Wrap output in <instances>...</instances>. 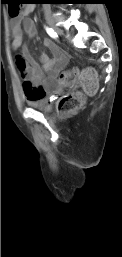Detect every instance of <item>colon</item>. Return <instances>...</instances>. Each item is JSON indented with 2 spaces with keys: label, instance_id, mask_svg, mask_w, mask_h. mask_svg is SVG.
<instances>
[{
  "label": "colon",
  "instance_id": "colon-1",
  "mask_svg": "<svg viewBox=\"0 0 122 257\" xmlns=\"http://www.w3.org/2000/svg\"><path fill=\"white\" fill-rule=\"evenodd\" d=\"M6 10H11V16L15 17L22 10V5H6ZM25 58V57H24ZM55 80L60 87H75L76 83L72 82L73 78L79 82L86 94H92L97 90L98 80L96 72L93 69L87 68L78 70H62V74H58ZM85 102V96L81 92H74L65 95L59 103V109L65 114H73L80 110Z\"/></svg>",
  "mask_w": 122,
  "mask_h": 257
}]
</instances>
